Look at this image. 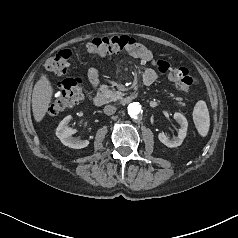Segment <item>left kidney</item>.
I'll return each instance as SVG.
<instances>
[{"label": "left kidney", "instance_id": "5707ae66", "mask_svg": "<svg viewBox=\"0 0 238 238\" xmlns=\"http://www.w3.org/2000/svg\"><path fill=\"white\" fill-rule=\"evenodd\" d=\"M174 119L180 126L179 133L176 138L170 139L163 132H160L158 134V139L160 140V142H162L164 145L170 148L177 147L182 144L184 138L186 137L188 127L187 119L181 113L176 112L174 114Z\"/></svg>", "mask_w": 238, "mask_h": 238}]
</instances>
